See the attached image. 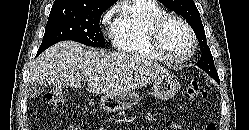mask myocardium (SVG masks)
Here are the masks:
<instances>
[{"label": "myocardium", "mask_w": 249, "mask_h": 130, "mask_svg": "<svg viewBox=\"0 0 249 130\" xmlns=\"http://www.w3.org/2000/svg\"><path fill=\"white\" fill-rule=\"evenodd\" d=\"M171 21L179 22L188 32L191 40V48L189 53L181 58H176L170 55L166 51L163 44L164 30ZM151 41L155 51L163 60L175 64H182L188 62L194 56L198 46L197 37L191 25L183 17L176 14H165L154 22L151 28Z\"/></svg>", "instance_id": "myocardium-1"}]
</instances>
